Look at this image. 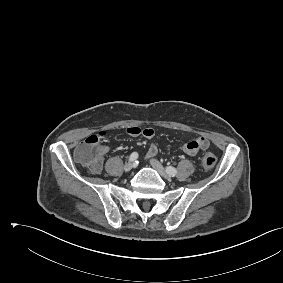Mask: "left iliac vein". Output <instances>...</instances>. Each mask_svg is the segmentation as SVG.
<instances>
[{
  "label": "left iliac vein",
  "instance_id": "1",
  "mask_svg": "<svg viewBox=\"0 0 283 283\" xmlns=\"http://www.w3.org/2000/svg\"><path fill=\"white\" fill-rule=\"evenodd\" d=\"M150 163L152 165V167L164 178L167 180L171 179V176L166 172V170L164 169V167L161 165V163L156 160V159H151Z\"/></svg>",
  "mask_w": 283,
  "mask_h": 283
}]
</instances>
